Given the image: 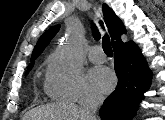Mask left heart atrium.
<instances>
[{
  "label": "left heart atrium",
  "instance_id": "left-heart-atrium-1",
  "mask_svg": "<svg viewBox=\"0 0 165 120\" xmlns=\"http://www.w3.org/2000/svg\"><path fill=\"white\" fill-rule=\"evenodd\" d=\"M90 78L93 85L101 92H109L116 84L114 73L104 66L95 67L90 73Z\"/></svg>",
  "mask_w": 165,
  "mask_h": 120
}]
</instances>
